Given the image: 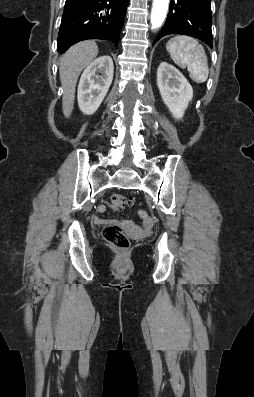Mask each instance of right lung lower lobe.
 I'll return each mask as SVG.
<instances>
[{
    "instance_id": "1",
    "label": "right lung lower lobe",
    "mask_w": 254,
    "mask_h": 397,
    "mask_svg": "<svg viewBox=\"0 0 254 397\" xmlns=\"http://www.w3.org/2000/svg\"><path fill=\"white\" fill-rule=\"evenodd\" d=\"M129 0H66L58 35V52L86 39L118 45Z\"/></svg>"
}]
</instances>
